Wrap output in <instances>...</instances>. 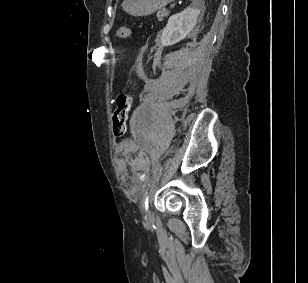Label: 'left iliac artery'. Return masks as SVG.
Here are the masks:
<instances>
[{"instance_id":"44dca946","label":"left iliac artery","mask_w":308,"mask_h":283,"mask_svg":"<svg viewBox=\"0 0 308 283\" xmlns=\"http://www.w3.org/2000/svg\"><path fill=\"white\" fill-rule=\"evenodd\" d=\"M141 204H142L143 212L147 214L148 212V192L147 191L143 193Z\"/></svg>"}]
</instances>
